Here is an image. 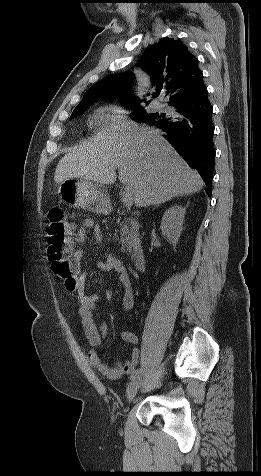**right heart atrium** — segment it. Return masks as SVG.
Masks as SVG:
<instances>
[{"mask_svg": "<svg viewBox=\"0 0 261 476\" xmlns=\"http://www.w3.org/2000/svg\"><path fill=\"white\" fill-rule=\"evenodd\" d=\"M108 120L112 123H120L128 118L129 111L120 105H114L107 108Z\"/></svg>", "mask_w": 261, "mask_h": 476, "instance_id": "d8ad5b80", "label": "right heart atrium"}]
</instances>
